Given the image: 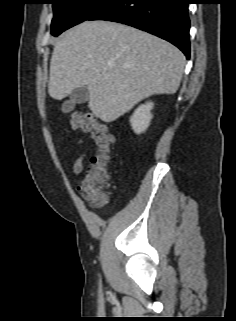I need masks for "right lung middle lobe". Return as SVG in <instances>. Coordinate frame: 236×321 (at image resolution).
<instances>
[{
  "label": "right lung middle lobe",
  "instance_id": "1",
  "mask_svg": "<svg viewBox=\"0 0 236 321\" xmlns=\"http://www.w3.org/2000/svg\"><path fill=\"white\" fill-rule=\"evenodd\" d=\"M110 0H51L54 17L51 34L58 36L104 7Z\"/></svg>",
  "mask_w": 236,
  "mask_h": 321
}]
</instances>
